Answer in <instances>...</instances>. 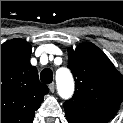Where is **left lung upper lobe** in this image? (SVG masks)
<instances>
[{"label": "left lung upper lobe", "mask_w": 123, "mask_h": 123, "mask_svg": "<svg viewBox=\"0 0 123 123\" xmlns=\"http://www.w3.org/2000/svg\"><path fill=\"white\" fill-rule=\"evenodd\" d=\"M75 79V93L64 103L65 112L77 111L109 121L123 100V76L94 44L82 43L68 49Z\"/></svg>", "instance_id": "5c2ea615"}]
</instances>
